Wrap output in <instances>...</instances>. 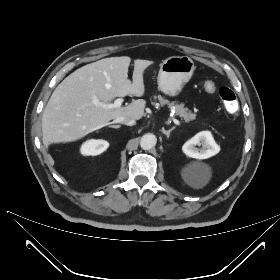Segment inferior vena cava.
<instances>
[{"label":"inferior vena cava","instance_id":"1","mask_svg":"<svg viewBox=\"0 0 280 280\" xmlns=\"http://www.w3.org/2000/svg\"><path fill=\"white\" fill-rule=\"evenodd\" d=\"M113 123H120V124H124V125H128V126H133V125H135L136 121H135V119L120 116V117L115 118L113 120Z\"/></svg>","mask_w":280,"mask_h":280}]
</instances>
